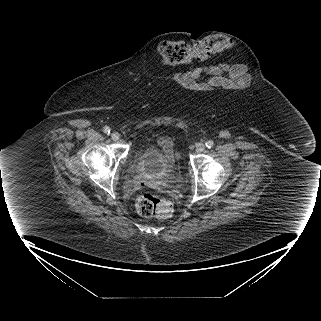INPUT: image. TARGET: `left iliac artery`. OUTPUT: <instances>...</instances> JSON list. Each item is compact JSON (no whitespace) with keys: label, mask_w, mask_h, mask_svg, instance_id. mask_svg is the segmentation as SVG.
<instances>
[{"label":"left iliac artery","mask_w":321,"mask_h":321,"mask_svg":"<svg viewBox=\"0 0 321 321\" xmlns=\"http://www.w3.org/2000/svg\"><path fill=\"white\" fill-rule=\"evenodd\" d=\"M206 148H211L214 146V142L212 140H209L205 143Z\"/></svg>","instance_id":"1"}]
</instances>
